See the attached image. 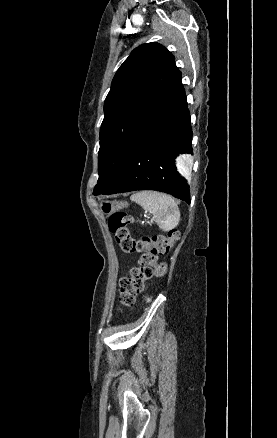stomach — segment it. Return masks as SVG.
I'll return each mask as SVG.
<instances>
[{"instance_id":"obj_1","label":"stomach","mask_w":277,"mask_h":438,"mask_svg":"<svg viewBox=\"0 0 277 438\" xmlns=\"http://www.w3.org/2000/svg\"><path fill=\"white\" fill-rule=\"evenodd\" d=\"M128 204L123 201L103 202L101 204V211L105 214H112L120 209L126 208Z\"/></svg>"}]
</instances>
